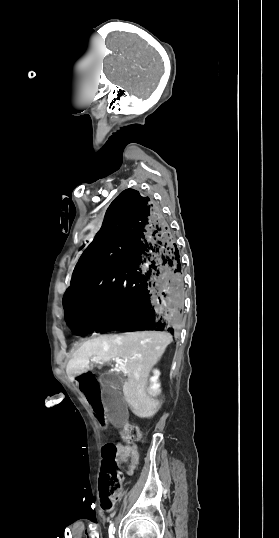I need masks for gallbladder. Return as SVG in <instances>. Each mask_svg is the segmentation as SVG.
<instances>
[{"label": "gallbladder", "mask_w": 279, "mask_h": 538, "mask_svg": "<svg viewBox=\"0 0 279 538\" xmlns=\"http://www.w3.org/2000/svg\"><path fill=\"white\" fill-rule=\"evenodd\" d=\"M99 382L103 388L104 395L102 402L104 405H110L106 419L108 423H114L116 427L124 426L125 421L129 420L130 415L126 412L125 402L121 398L119 390H121L124 382L123 374L118 372H105L99 378Z\"/></svg>", "instance_id": "obj_1"}]
</instances>
